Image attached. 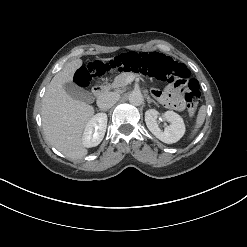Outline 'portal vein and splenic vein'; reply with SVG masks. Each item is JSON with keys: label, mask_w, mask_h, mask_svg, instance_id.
<instances>
[{"label": "portal vein and splenic vein", "mask_w": 247, "mask_h": 247, "mask_svg": "<svg viewBox=\"0 0 247 247\" xmlns=\"http://www.w3.org/2000/svg\"><path fill=\"white\" fill-rule=\"evenodd\" d=\"M130 81H132V79L130 78V79H128V82H130Z\"/></svg>", "instance_id": "obj_1"}]
</instances>
